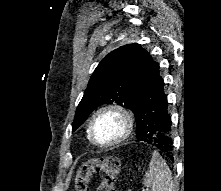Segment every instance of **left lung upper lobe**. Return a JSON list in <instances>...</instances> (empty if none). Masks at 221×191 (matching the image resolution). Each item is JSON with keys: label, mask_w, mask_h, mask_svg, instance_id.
<instances>
[{"label": "left lung upper lobe", "mask_w": 221, "mask_h": 191, "mask_svg": "<svg viewBox=\"0 0 221 191\" xmlns=\"http://www.w3.org/2000/svg\"><path fill=\"white\" fill-rule=\"evenodd\" d=\"M145 50L139 44H128L113 50L99 63L72 124L75 131L99 105L117 103L133 111L134 82Z\"/></svg>", "instance_id": "left-lung-upper-lobe-1"}]
</instances>
